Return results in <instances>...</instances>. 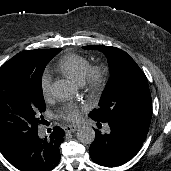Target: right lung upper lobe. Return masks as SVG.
I'll return each mask as SVG.
<instances>
[{
  "mask_svg": "<svg viewBox=\"0 0 171 171\" xmlns=\"http://www.w3.org/2000/svg\"><path fill=\"white\" fill-rule=\"evenodd\" d=\"M39 51H45L46 49H38ZM37 51V50H36Z\"/></svg>",
  "mask_w": 171,
  "mask_h": 171,
  "instance_id": "obj_1",
  "label": "right lung upper lobe"
}]
</instances>
